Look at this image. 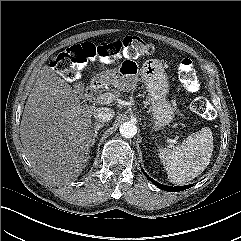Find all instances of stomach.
<instances>
[{
    "label": "stomach",
    "mask_w": 241,
    "mask_h": 241,
    "mask_svg": "<svg viewBox=\"0 0 241 241\" xmlns=\"http://www.w3.org/2000/svg\"><path fill=\"white\" fill-rule=\"evenodd\" d=\"M111 75L113 83L119 89L133 87L140 77L148 92L155 129L163 128L174 119V110L166 100L168 77L163 66L157 60H147L142 67H139L135 61L125 60Z\"/></svg>",
    "instance_id": "1"
}]
</instances>
